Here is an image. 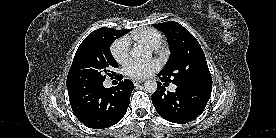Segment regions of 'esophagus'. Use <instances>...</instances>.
Segmentation results:
<instances>
[{
  "instance_id": "esophagus-1",
  "label": "esophagus",
  "mask_w": 276,
  "mask_h": 138,
  "mask_svg": "<svg viewBox=\"0 0 276 138\" xmlns=\"http://www.w3.org/2000/svg\"><path fill=\"white\" fill-rule=\"evenodd\" d=\"M133 83H134L135 86H137L138 84H141L142 81H140V80H133Z\"/></svg>"
}]
</instances>
